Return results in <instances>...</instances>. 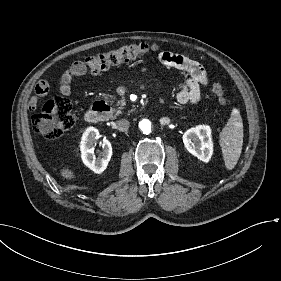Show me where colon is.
<instances>
[{
	"mask_svg": "<svg viewBox=\"0 0 281 281\" xmlns=\"http://www.w3.org/2000/svg\"><path fill=\"white\" fill-rule=\"evenodd\" d=\"M154 49L155 46L147 43L123 45L116 50L75 62L74 70L76 73H81L84 70L83 67H85L90 73L96 74L130 60L144 57ZM212 91L220 105L226 106L228 104V98L221 84L214 83ZM74 121L71 103L62 96H55L47 101L41 111L33 116L32 125L44 138L54 140L68 131L73 126Z\"/></svg>",
	"mask_w": 281,
	"mask_h": 281,
	"instance_id": "1",
	"label": "colon"
}]
</instances>
